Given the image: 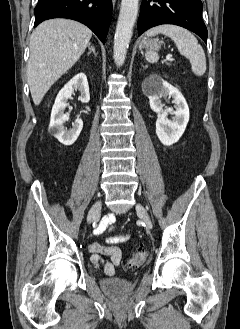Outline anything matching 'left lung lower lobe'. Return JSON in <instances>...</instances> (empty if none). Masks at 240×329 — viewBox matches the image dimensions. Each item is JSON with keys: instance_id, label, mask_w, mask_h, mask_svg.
<instances>
[{"instance_id": "left-lung-lower-lobe-1", "label": "left lung lower lobe", "mask_w": 240, "mask_h": 329, "mask_svg": "<svg viewBox=\"0 0 240 329\" xmlns=\"http://www.w3.org/2000/svg\"><path fill=\"white\" fill-rule=\"evenodd\" d=\"M201 0H144L138 20V34L162 25L184 27L207 42V28L202 20Z\"/></svg>"}]
</instances>
